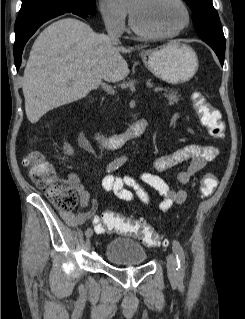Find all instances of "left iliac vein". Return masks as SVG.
Instances as JSON below:
<instances>
[{
  "label": "left iliac vein",
  "instance_id": "left-iliac-vein-1",
  "mask_svg": "<svg viewBox=\"0 0 245 319\" xmlns=\"http://www.w3.org/2000/svg\"><path fill=\"white\" fill-rule=\"evenodd\" d=\"M177 262L173 254H169L167 257V273L168 277L172 282L177 281V272H176Z\"/></svg>",
  "mask_w": 245,
  "mask_h": 319
}]
</instances>
